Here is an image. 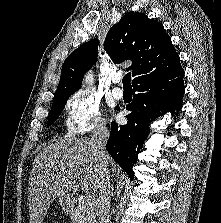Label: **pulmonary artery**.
I'll return each instance as SVG.
<instances>
[{"label": "pulmonary artery", "mask_w": 221, "mask_h": 223, "mask_svg": "<svg viewBox=\"0 0 221 223\" xmlns=\"http://www.w3.org/2000/svg\"><path fill=\"white\" fill-rule=\"evenodd\" d=\"M121 80H122V78H121L120 75H116V76H114V78H113V82H114L115 84L120 83ZM112 94H113V96H114L115 98L120 99V98L123 97V90H122L121 88H119V87H114L113 90H112Z\"/></svg>", "instance_id": "obj_1"}]
</instances>
